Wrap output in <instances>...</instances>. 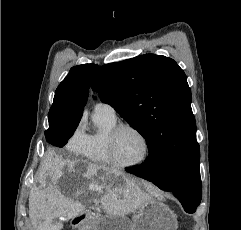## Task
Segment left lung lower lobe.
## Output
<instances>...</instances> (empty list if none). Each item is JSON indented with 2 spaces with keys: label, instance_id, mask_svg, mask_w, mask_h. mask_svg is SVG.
Masks as SVG:
<instances>
[{
  "label": "left lung lower lobe",
  "instance_id": "left-lung-lower-lobe-1",
  "mask_svg": "<svg viewBox=\"0 0 241 230\" xmlns=\"http://www.w3.org/2000/svg\"><path fill=\"white\" fill-rule=\"evenodd\" d=\"M169 167L168 159L160 151H155L140 167L128 168L126 171L153 182L162 190L171 191L182 203L186 212L194 213L202 196L199 167L195 168L176 188H172L168 184Z\"/></svg>",
  "mask_w": 241,
  "mask_h": 230
}]
</instances>
